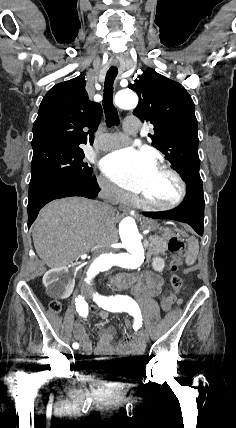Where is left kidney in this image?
I'll use <instances>...</instances> for the list:
<instances>
[{
	"label": "left kidney",
	"instance_id": "obj_1",
	"mask_svg": "<svg viewBox=\"0 0 236 428\" xmlns=\"http://www.w3.org/2000/svg\"><path fill=\"white\" fill-rule=\"evenodd\" d=\"M152 268L155 272H163L165 268V260H163V258H153Z\"/></svg>",
	"mask_w": 236,
	"mask_h": 428
}]
</instances>
